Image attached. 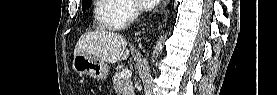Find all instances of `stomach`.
Listing matches in <instances>:
<instances>
[{
	"mask_svg": "<svg viewBox=\"0 0 277 95\" xmlns=\"http://www.w3.org/2000/svg\"><path fill=\"white\" fill-rule=\"evenodd\" d=\"M72 68L80 76H90L97 80H105L108 75L107 64L87 53L75 55Z\"/></svg>",
	"mask_w": 277,
	"mask_h": 95,
	"instance_id": "1",
	"label": "stomach"
}]
</instances>
